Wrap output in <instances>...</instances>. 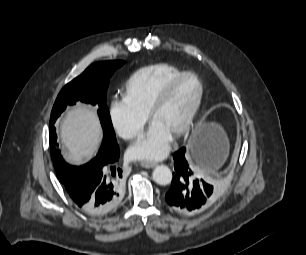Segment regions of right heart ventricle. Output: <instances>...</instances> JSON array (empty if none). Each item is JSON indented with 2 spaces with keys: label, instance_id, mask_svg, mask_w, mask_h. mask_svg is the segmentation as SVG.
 <instances>
[{
  "label": "right heart ventricle",
  "instance_id": "1",
  "mask_svg": "<svg viewBox=\"0 0 306 255\" xmlns=\"http://www.w3.org/2000/svg\"><path fill=\"white\" fill-rule=\"evenodd\" d=\"M181 69L167 63L142 67L135 71L124 86V99L139 113L147 115L148 109L160 91Z\"/></svg>",
  "mask_w": 306,
  "mask_h": 255
}]
</instances>
